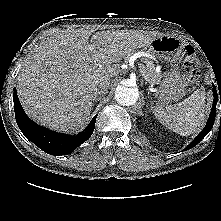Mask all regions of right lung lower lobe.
<instances>
[{
  "mask_svg": "<svg viewBox=\"0 0 221 221\" xmlns=\"http://www.w3.org/2000/svg\"><path fill=\"white\" fill-rule=\"evenodd\" d=\"M13 98L15 118L19 129L27 139L48 154H70L89 139L94 131L97 115L93 117L87 128L78 135H65L51 131L45 127L39 126L25 114L19 102L16 89H14Z\"/></svg>",
  "mask_w": 221,
  "mask_h": 221,
  "instance_id": "1",
  "label": "right lung lower lobe"
}]
</instances>
